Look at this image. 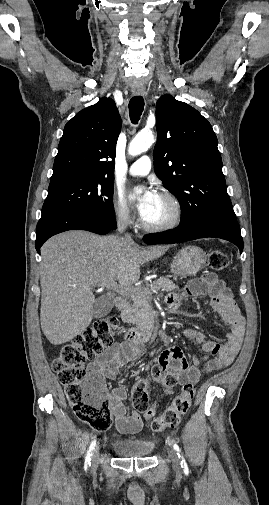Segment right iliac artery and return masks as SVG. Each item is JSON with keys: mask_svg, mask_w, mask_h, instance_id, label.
Masks as SVG:
<instances>
[{"mask_svg": "<svg viewBox=\"0 0 269 505\" xmlns=\"http://www.w3.org/2000/svg\"><path fill=\"white\" fill-rule=\"evenodd\" d=\"M96 446V439L92 441L89 450L87 451L86 458H85V463H84V469L87 470L91 466V456L92 452L95 449Z\"/></svg>", "mask_w": 269, "mask_h": 505, "instance_id": "1", "label": "right iliac artery"}]
</instances>
